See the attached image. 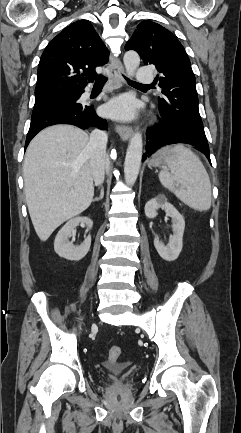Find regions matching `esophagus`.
Here are the masks:
<instances>
[{
  "label": "esophagus",
  "mask_w": 241,
  "mask_h": 433,
  "mask_svg": "<svg viewBox=\"0 0 241 433\" xmlns=\"http://www.w3.org/2000/svg\"><path fill=\"white\" fill-rule=\"evenodd\" d=\"M111 75L117 88L124 85V67L119 58L111 56ZM117 132L123 141H128L132 135V127L117 125Z\"/></svg>",
  "instance_id": "1"
}]
</instances>
